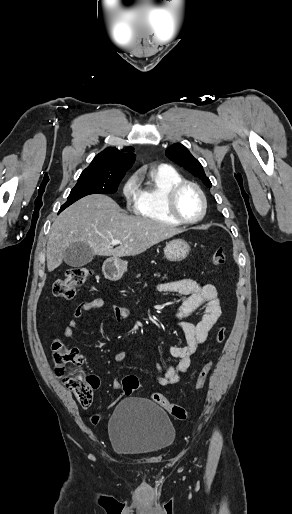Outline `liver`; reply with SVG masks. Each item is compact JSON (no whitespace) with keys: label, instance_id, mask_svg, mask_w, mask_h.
I'll return each mask as SVG.
<instances>
[{"label":"liver","instance_id":"obj_1","mask_svg":"<svg viewBox=\"0 0 292 514\" xmlns=\"http://www.w3.org/2000/svg\"><path fill=\"white\" fill-rule=\"evenodd\" d=\"M181 232L184 230L148 218L128 216L108 196L92 194L69 206L53 222L47 242V268L49 272L58 268L66 248L74 242H85L95 256L121 258L142 254ZM113 240L122 244L113 248Z\"/></svg>","mask_w":292,"mask_h":514}]
</instances>
